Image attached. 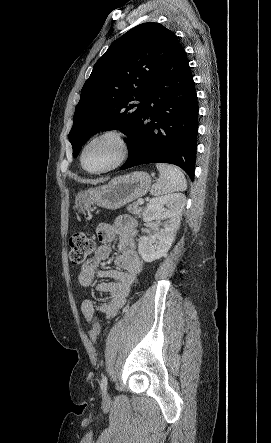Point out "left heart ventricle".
I'll return each instance as SVG.
<instances>
[{"label":"left heart ventricle","mask_w":271,"mask_h":443,"mask_svg":"<svg viewBox=\"0 0 271 443\" xmlns=\"http://www.w3.org/2000/svg\"><path fill=\"white\" fill-rule=\"evenodd\" d=\"M120 146L113 136H105L91 142L83 154V165L88 170H100L114 163Z\"/></svg>","instance_id":"b2bd125f"}]
</instances>
